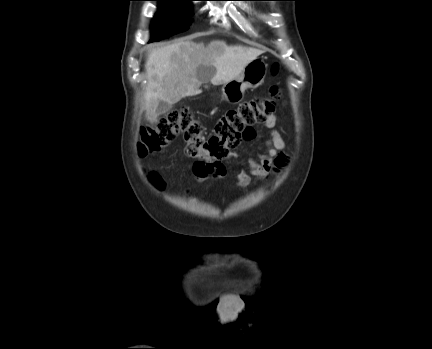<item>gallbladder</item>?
Returning <instances> with one entry per match:
<instances>
[{"label": "gallbladder", "instance_id": "1", "mask_svg": "<svg viewBox=\"0 0 432 349\" xmlns=\"http://www.w3.org/2000/svg\"><path fill=\"white\" fill-rule=\"evenodd\" d=\"M172 104L167 103L165 101H159L158 106L156 108V113L158 115H162L165 114L167 112H169L172 109Z\"/></svg>", "mask_w": 432, "mask_h": 349}]
</instances>
